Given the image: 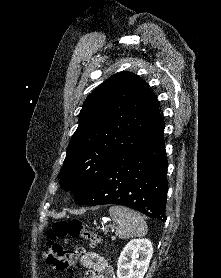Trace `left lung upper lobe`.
Here are the masks:
<instances>
[{
	"mask_svg": "<svg viewBox=\"0 0 221 278\" xmlns=\"http://www.w3.org/2000/svg\"><path fill=\"white\" fill-rule=\"evenodd\" d=\"M157 97L130 72L105 80L85 100L59 173L62 188L84 199L112 160L159 119Z\"/></svg>",
	"mask_w": 221,
	"mask_h": 278,
	"instance_id": "left-lung-upper-lobe-1",
	"label": "left lung upper lobe"
}]
</instances>
